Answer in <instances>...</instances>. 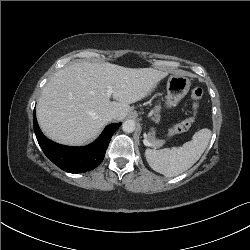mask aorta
<instances>
[{"label":"aorta","mask_w":250,"mask_h":250,"mask_svg":"<svg viewBox=\"0 0 250 250\" xmlns=\"http://www.w3.org/2000/svg\"><path fill=\"white\" fill-rule=\"evenodd\" d=\"M135 126V121L129 119L122 124V129L125 133H132L135 130Z\"/></svg>","instance_id":"aorta-1"}]
</instances>
